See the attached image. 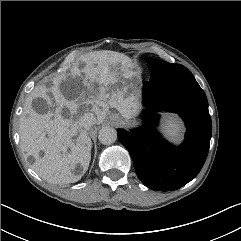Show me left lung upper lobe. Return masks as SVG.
<instances>
[{
  "label": "left lung upper lobe",
  "mask_w": 241,
  "mask_h": 241,
  "mask_svg": "<svg viewBox=\"0 0 241 241\" xmlns=\"http://www.w3.org/2000/svg\"><path fill=\"white\" fill-rule=\"evenodd\" d=\"M148 67L151 71H158L162 73L168 82L169 91L172 93L198 84L192 73L183 65L170 64L166 61L151 59L147 61Z\"/></svg>",
  "instance_id": "1"
}]
</instances>
